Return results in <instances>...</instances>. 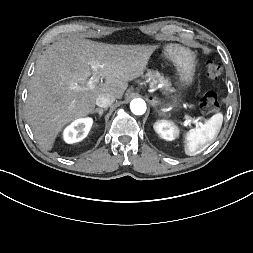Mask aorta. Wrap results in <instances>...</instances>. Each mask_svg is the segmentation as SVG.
Instances as JSON below:
<instances>
[{"instance_id":"762f6f07","label":"aorta","mask_w":253,"mask_h":253,"mask_svg":"<svg viewBox=\"0 0 253 253\" xmlns=\"http://www.w3.org/2000/svg\"><path fill=\"white\" fill-rule=\"evenodd\" d=\"M130 109L135 115H142L146 112V103L143 99H133L130 103Z\"/></svg>"}]
</instances>
